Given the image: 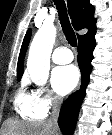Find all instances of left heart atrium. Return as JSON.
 Wrapping results in <instances>:
<instances>
[{
  "label": "left heart atrium",
  "instance_id": "obj_1",
  "mask_svg": "<svg viewBox=\"0 0 112 135\" xmlns=\"http://www.w3.org/2000/svg\"><path fill=\"white\" fill-rule=\"evenodd\" d=\"M78 80L79 73L74 65L57 66L51 73L52 87L60 96L72 91L77 85Z\"/></svg>",
  "mask_w": 112,
  "mask_h": 135
}]
</instances>
